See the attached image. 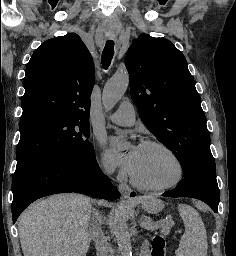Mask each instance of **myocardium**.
Listing matches in <instances>:
<instances>
[{
  "instance_id": "myocardium-1",
  "label": "myocardium",
  "mask_w": 236,
  "mask_h": 256,
  "mask_svg": "<svg viewBox=\"0 0 236 256\" xmlns=\"http://www.w3.org/2000/svg\"><path fill=\"white\" fill-rule=\"evenodd\" d=\"M140 147H144V148L158 147L165 150L174 159L178 167V173H177V176L171 182L162 186L151 187V186H146L141 184L129 171L128 173L129 181L133 187L146 193H160L177 186L182 181L185 173L183 162L179 157V155L170 146L158 140H148V141L142 142L140 144Z\"/></svg>"
}]
</instances>
